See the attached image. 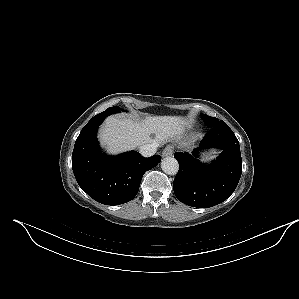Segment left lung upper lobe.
<instances>
[{"label": "left lung upper lobe", "mask_w": 299, "mask_h": 299, "mask_svg": "<svg viewBox=\"0 0 299 299\" xmlns=\"http://www.w3.org/2000/svg\"><path fill=\"white\" fill-rule=\"evenodd\" d=\"M201 117H202L203 121L205 122V124L210 128L216 126L217 124H224V122L222 120L219 121L217 118L208 116L206 114H201Z\"/></svg>", "instance_id": "1"}]
</instances>
